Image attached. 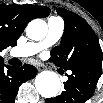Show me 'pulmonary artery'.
I'll return each mask as SVG.
<instances>
[{"instance_id": "1", "label": "pulmonary artery", "mask_w": 103, "mask_h": 103, "mask_svg": "<svg viewBox=\"0 0 103 103\" xmlns=\"http://www.w3.org/2000/svg\"><path fill=\"white\" fill-rule=\"evenodd\" d=\"M64 32V21L60 17H50L48 20V32L40 42H28L16 47L12 55L15 57H29L41 50L55 44L60 40Z\"/></svg>"}]
</instances>
